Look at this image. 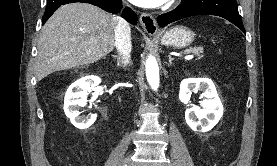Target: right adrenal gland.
Masks as SVG:
<instances>
[{
    "instance_id": "2a0ac1e0",
    "label": "right adrenal gland",
    "mask_w": 277,
    "mask_h": 166,
    "mask_svg": "<svg viewBox=\"0 0 277 166\" xmlns=\"http://www.w3.org/2000/svg\"><path fill=\"white\" fill-rule=\"evenodd\" d=\"M113 58L117 60V65L118 66H122L123 62H122L120 56L113 55Z\"/></svg>"
}]
</instances>
